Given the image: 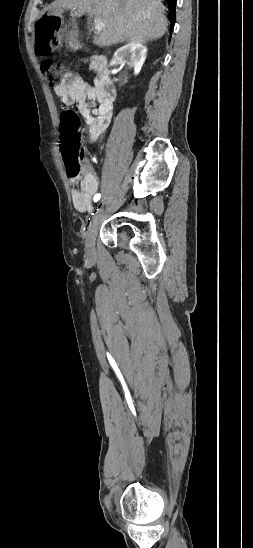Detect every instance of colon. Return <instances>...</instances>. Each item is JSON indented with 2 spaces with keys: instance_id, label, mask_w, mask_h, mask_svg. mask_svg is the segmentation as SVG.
<instances>
[{
  "instance_id": "colon-1",
  "label": "colon",
  "mask_w": 253,
  "mask_h": 548,
  "mask_svg": "<svg viewBox=\"0 0 253 548\" xmlns=\"http://www.w3.org/2000/svg\"><path fill=\"white\" fill-rule=\"evenodd\" d=\"M60 45V23L54 17H44L36 24V48L45 55ZM41 69L50 86H58L67 71L64 63L45 60ZM80 121L73 110H67L62 114L61 151L67 165V174L77 176L80 171Z\"/></svg>"
}]
</instances>
